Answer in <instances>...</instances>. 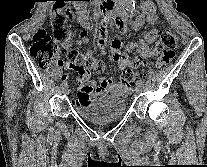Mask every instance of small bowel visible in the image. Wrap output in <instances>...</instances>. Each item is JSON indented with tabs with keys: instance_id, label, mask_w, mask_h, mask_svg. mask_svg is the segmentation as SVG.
Returning <instances> with one entry per match:
<instances>
[{
	"instance_id": "1",
	"label": "small bowel",
	"mask_w": 207,
	"mask_h": 167,
	"mask_svg": "<svg viewBox=\"0 0 207 167\" xmlns=\"http://www.w3.org/2000/svg\"><path fill=\"white\" fill-rule=\"evenodd\" d=\"M157 15L155 13L154 6L151 3H145L142 6V14L135 20L133 29L138 30L145 24H153L157 21ZM120 31L125 32L127 25L125 19H117L115 22ZM82 42H87V32L82 31ZM158 38V30L152 28L145 31L141 38L137 42H130L125 46L126 51L135 50L137 57L130 60L127 54L122 51L121 44L113 42L111 44V51L114 59L121 67L130 66L138 67L143 63L144 59L152 58L157 54L156 41ZM99 49L104 53L106 47V26L102 25L99 30V37L97 41ZM64 72L61 75L62 80L65 82L70 72H76L79 75V87L77 91V98L75 103L86 104L94 98L104 96H125L131 93V87H125L121 83H116L111 77H103L100 79L99 84L89 79V73L85 69H77L69 66L68 64L63 66Z\"/></svg>"
}]
</instances>
